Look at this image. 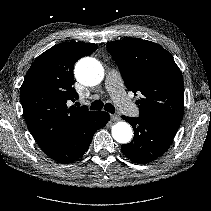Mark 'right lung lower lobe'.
I'll use <instances>...</instances> for the list:
<instances>
[{
  "instance_id": "obj_1",
  "label": "right lung lower lobe",
  "mask_w": 211,
  "mask_h": 211,
  "mask_svg": "<svg viewBox=\"0 0 211 211\" xmlns=\"http://www.w3.org/2000/svg\"><path fill=\"white\" fill-rule=\"evenodd\" d=\"M110 116L103 111H96L79 124L56 149L47 153L53 160L60 163L73 162L80 158L88 149L94 133L104 127Z\"/></svg>"
}]
</instances>
